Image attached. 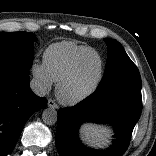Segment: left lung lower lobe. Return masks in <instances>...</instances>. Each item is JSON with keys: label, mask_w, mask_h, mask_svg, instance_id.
Masks as SVG:
<instances>
[{"label": "left lung lower lobe", "mask_w": 156, "mask_h": 156, "mask_svg": "<svg viewBox=\"0 0 156 156\" xmlns=\"http://www.w3.org/2000/svg\"><path fill=\"white\" fill-rule=\"evenodd\" d=\"M141 111V88L118 85L96 90L74 107L58 111V153L60 156H122ZM84 121L111 123L116 130L113 146L105 151L84 147L77 134Z\"/></svg>", "instance_id": "left-lung-lower-lobe-1"}]
</instances>
